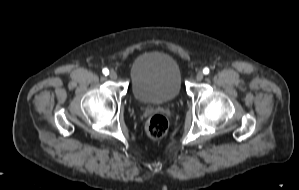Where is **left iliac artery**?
<instances>
[{
  "instance_id": "obj_1",
  "label": "left iliac artery",
  "mask_w": 299,
  "mask_h": 190,
  "mask_svg": "<svg viewBox=\"0 0 299 190\" xmlns=\"http://www.w3.org/2000/svg\"><path fill=\"white\" fill-rule=\"evenodd\" d=\"M203 73L206 74V75L209 74V68L205 67V68L203 69Z\"/></svg>"
}]
</instances>
